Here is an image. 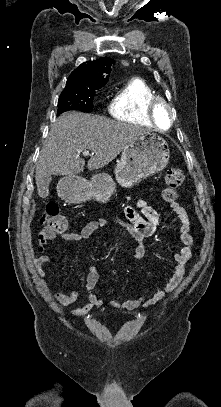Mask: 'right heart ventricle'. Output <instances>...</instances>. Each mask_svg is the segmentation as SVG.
I'll return each mask as SVG.
<instances>
[{"label": "right heart ventricle", "mask_w": 221, "mask_h": 407, "mask_svg": "<svg viewBox=\"0 0 221 407\" xmlns=\"http://www.w3.org/2000/svg\"><path fill=\"white\" fill-rule=\"evenodd\" d=\"M156 97L158 94L144 79L133 78L113 93L107 110L117 120L152 126L148 104Z\"/></svg>", "instance_id": "right-heart-ventricle-1"}]
</instances>
